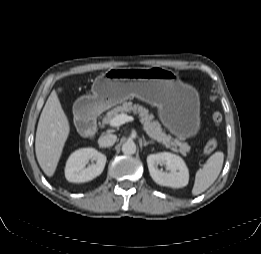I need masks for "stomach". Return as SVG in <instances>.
I'll use <instances>...</instances> for the list:
<instances>
[{"mask_svg":"<svg viewBox=\"0 0 261 254\" xmlns=\"http://www.w3.org/2000/svg\"><path fill=\"white\" fill-rule=\"evenodd\" d=\"M92 95L81 98L92 114L136 97L157 107L164 126L181 139L195 136L201 125L198 92L161 67L108 69L92 85Z\"/></svg>","mask_w":261,"mask_h":254,"instance_id":"0dacf381","label":"stomach"}]
</instances>
